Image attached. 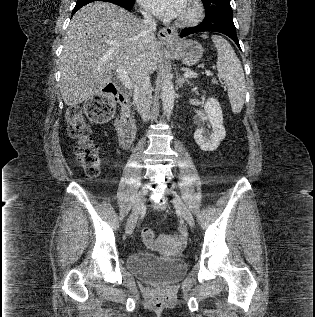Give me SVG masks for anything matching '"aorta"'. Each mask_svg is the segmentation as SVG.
<instances>
[{"label":"aorta","instance_id":"1","mask_svg":"<svg viewBox=\"0 0 315 317\" xmlns=\"http://www.w3.org/2000/svg\"><path fill=\"white\" fill-rule=\"evenodd\" d=\"M161 99H162V105H163V110L167 117H170L172 114L173 108H174V100H175V90H174V85L169 77L167 75L162 82L161 85Z\"/></svg>","mask_w":315,"mask_h":317}]
</instances>
